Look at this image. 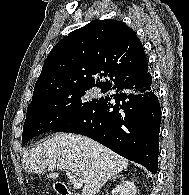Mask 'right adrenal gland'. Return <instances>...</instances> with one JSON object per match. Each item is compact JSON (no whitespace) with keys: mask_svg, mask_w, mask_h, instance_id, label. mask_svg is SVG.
Instances as JSON below:
<instances>
[{"mask_svg":"<svg viewBox=\"0 0 189 195\" xmlns=\"http://www.w3.org/2000/svg\"><path fill=\"white\" fill-rule=\"evenodd\" d=\"M120 176H122V175H117V176H113L112 178H110L109 180H112V179H116L117 177H120Z\"/></svg>","mask_w":189,"mask_h":195,"instance_id":"1","label":"right adrenal gland"}]
</instances>
